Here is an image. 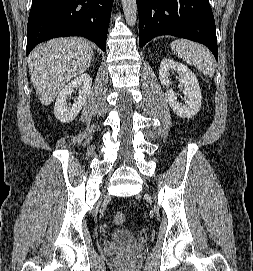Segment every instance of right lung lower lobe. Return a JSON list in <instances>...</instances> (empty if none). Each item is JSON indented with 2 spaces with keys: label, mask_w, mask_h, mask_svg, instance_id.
Instances as JSON below:
<instances>
[{
  "label": "right lung lower lobe",
  "mask_w": 253,
  "mask_h": 271,
  "mask_svg": "<svg viewBox=\"0 0 253 271\" xmlns=\"http://www.w3.org/2000/svg\"><path fill=\"white\" fill-rule=\"evenodd\" d=\"M113 0H32L27 25V55L40 42L82 36L103 51Z\"/></svg>",
  "instance_id": "98d812e1"
}]
</instances>
